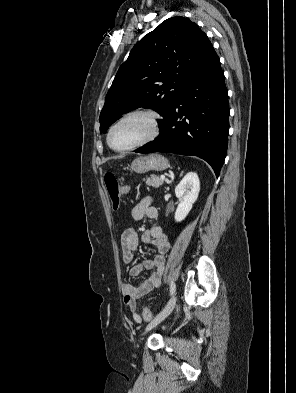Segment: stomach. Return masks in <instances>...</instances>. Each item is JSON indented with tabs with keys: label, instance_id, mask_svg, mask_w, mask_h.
Wrapping results in <instances>:
<instances>
[{
	"label": "stomach",
	"instance_id": "obj_1",
	"mask_svg": "<svg viewBox=\"0 0 296 393\" xmlns=\"http://www.w3.org/2000/svg\"><path fill=\"white\" fill-rule=\"evenodd\" d=\"M169 167V161L162 155L151 154L138 157L131 163L130 170L142 174L148 171H162Z\"/></svg>",
	"mask_w": 296,
	"mask_h": 393
}]
</instances>
